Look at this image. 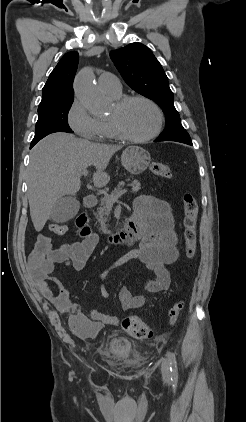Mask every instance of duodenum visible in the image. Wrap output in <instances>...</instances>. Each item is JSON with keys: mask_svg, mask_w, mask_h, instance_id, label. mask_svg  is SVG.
I'll list each match as a JSON object with an SVG mask.
<instances>
[{"mask_svg": "<svg viewBox=\"0 0 246 422\" xmlns=\"http://www.w3.org/2000/svg\"><path fill=\"white\" fill-rule=\"evenodd\" d=\"M96 198L92 195L86 196L83 200L84 207L91 209L96 205ZM88 216L86 213H82L76 219L77 227L80 230L82 236H88L91 234V230L88 227ZM141 236V227L139 221L133 216L130 218L124 226L117 232L111 234L108 237V242L114 246H130L139 240Z\"/></svg>", "mask_w": 246, "mask_h": 422, "instance_id": "duodenum-1", "label": "duodenum"}]
</instances>
